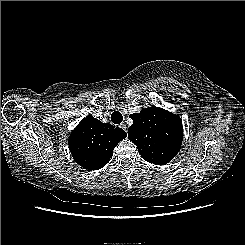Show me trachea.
I'll list each match as a JSON object with an SVG mask.
<instances>
[{
	"mask_svg": "<svg viewBox=\"0 0 245 245\" xmlns=\"http://www.w3.org/2000/svg\"><path fill=\"white\" fill-rule=\"evenodd\" d=\"M111 120L114 124H120L123 120L122 114L118 111H114L111 115Z\"/></svg>",
	"mask_w": 245,
	"mask_h": 245,
	"instance_id": "3493384b",
	"label": "trachea"
}]
</instances>
